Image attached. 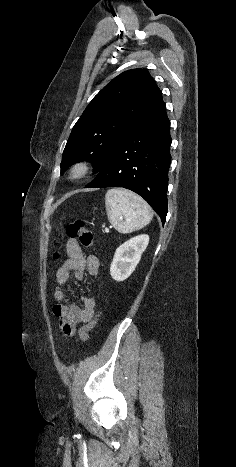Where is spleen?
Segmentation results:
<instances>
[{
  "instance_id": "3e777b00",
  "label": "spleen",
  "mask_w": 236,
  "mask_h": 467,
  "mask_svg": "<svg viewBox=\"0 0 236 467\" xmlns=\"http://www.w3.org/2000/svg\"><path fill=\"white\" fill-rule=\"evenodd\" d=\"M105 207L109 222L123 234L143 228L153 217L147 202L125 189L108 190L105 195Z\"/></svg>"
}]
</instances>
